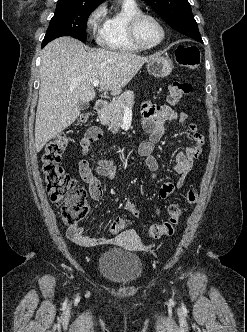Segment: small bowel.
<instances>
[{
  "label": "small bowel",
  "instance_id": "1",
  "mask_svg": "<svg viewBox=\"0 0 247 332\" xmlns=\"http://www.w3.org/2000/svg\"><path fill=\"white\" fill-rule=\"evenodd\" d=\"M175 120L185 123L188 120V114L185 112L178 113L168 105H155L149 101L144 102L142 105L141 126L147 133L148 139L140 144L139 154L147 168L152 171L153 178H155L159 167L158 161L153 155L155 145L165 135L167 131L166 124ZM188 130L192 134L194 145L176 154L174 170L179 177L175 183L165 182L162 184L157 194L159 199L168 198L175 190H179L184 186L186 178L192 169L193 161L202 153L204 137L198 132L197 125L189 123ZM101 136L102 132L98 127L88 129L80 142L83 153L85 154L91 144L98 141ZM78 169L81 179L88 185L90 195L95 201H99L103 195V189L97 175L107 177L110 180H113L116 176V167L111 159H99L94 170L85 159H82L79 162ZM124 206L132 216L138 217L140 215L138 205L132 200H127ZM158 213L159 210H156V214ZM66 233L72 242L84 247H96L113 242L112 239L105 237L87 236L84 234L83 228L77 224L69 225Z\"/></svg>",
  "mask_w": 247,
  "mask_h": 332
}]
</instances>
